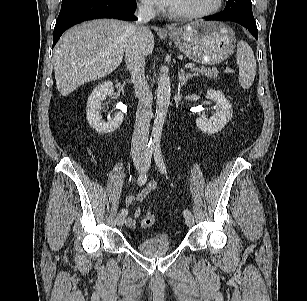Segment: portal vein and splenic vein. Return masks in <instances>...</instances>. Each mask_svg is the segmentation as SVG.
I'll return each instance as SVG.
<instances>
[{"label": "portal vein and splenic vein", "instance_id": "1", "mask_svg": "<svg viewBox=\"0 0 307 301\" xmlns=\"http://www.w3.org/2000/svg\"><path fill=\"white\" fill-rule=\"evenodd\" d=\"M194 67H195V64H192V63H188V64L185 65L186 69H192ZM225 73H235V70L234 69H226Z\"/></svg>", "mask_w": 307, "mask_h": 301}]
</instances>
